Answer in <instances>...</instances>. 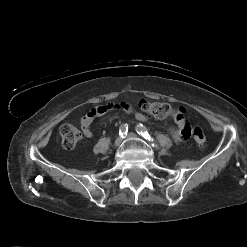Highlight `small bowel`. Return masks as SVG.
<instances>
[{"instance_id":"small-bowel-1","label":"small bowel","mask_w":247,"mask_h":247,"mask_svg":"<svg viewBox=\"0 0 247 247\" xmlns=\"http://www.w3.org/2000/svg\"><path fill=\"white\" fill-rule=\"evenodd\" d=\"M119 109L126 113L134 114L136 119L139 121H146V116L140 112H136L133 107L126 102L120 103H107L101 106L91 108L80 120L81 128L84 135L88 138L93 137V132L91 131V124L95 118L106 114L107 112ZM174 121L176 123L175 127L170 128V134L176 142H180L189 138L190 136V126L183 115L174 116Z\"/></svg>"}]
</instances>
